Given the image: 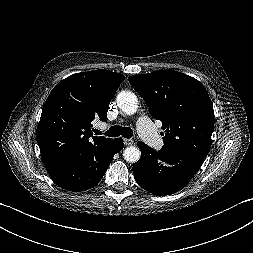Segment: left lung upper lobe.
<instances>
[{"label": "left lung upper lobe", "instance_id": "obj_1", "mask_svg": "<svg viewBox=\"0 0 253 253\" xmlns=\"http://www.w3.org/2000/svg\"><path fill=\"white\" fill-rule=\"evenodd\" d=\"M128 81L148 105L151 116L162 122V153L174 159L189 154L207 156L215 120L202 83L172 70L133 75Z\"/></svg>", "mask_w": 253, "mask_h": 253}]
</instances>
